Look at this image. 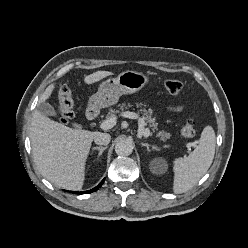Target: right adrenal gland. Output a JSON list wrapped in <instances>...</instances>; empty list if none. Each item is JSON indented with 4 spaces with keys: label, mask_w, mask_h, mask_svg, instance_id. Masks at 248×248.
I'll return each mask as SVG.
<instances>
[{
    "label": "right adrenal gland",
    "mask_w": 248,
    "mask_h": 248,
    "mask_svg": "<svg viewBox=\"0 0 248 248\" xmlns=\"http://www.w3.org/2000/svg\"><path fill=\"white\" fill-rule=\"evenodd\" d=\"M106 149H107V146L106 147L100 146V147H94L93 148V151L94 150H98L99 151V153H98V158H99Z\"/></svg>",
    "instance_id": "2a0ac1e0"
}]
</instances>
